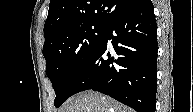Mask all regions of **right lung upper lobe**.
<instances>
[{
  "mask_svg": "<svg viewBox=\"0 0 193 112\" xmlns=\"http://www.w3.org/2000/svg\"><path fill=\"white\" fill-rule=\"evenodd\" d=\"M140 0H51L44 25L45 42L59 31L81 23L107 26Z\"/></svg>",
  "mask_w": 193,
  "mask_h": 112,
  "instance_id": "obj_1",
  "label": "right lung upper lobe"
}]
</instances>
